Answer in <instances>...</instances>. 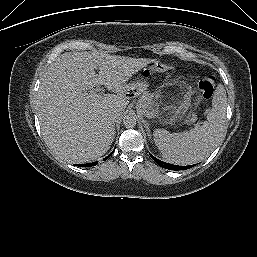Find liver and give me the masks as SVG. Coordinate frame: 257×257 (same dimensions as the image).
I'll return each instance as SVG.
<instances>
[{
  "label": "liver",
  "instance_id": "liver-1",
  "mask_svg": "<svg viewBox=\"0 0 257 257\" xmlns=\"http://www.w3.org/2000/svg\"><path fill=\"white\" fill-rule=\"evenodd\" d=\"M154 61L98 51L60 55L42 76L37 97L42 135L51 151L69 163H85L104 155L115 136L109 116L122 114L129 103L128 80ZM98 85L117 94L84 99L85 91Z\"/></svg>",
  "mask_w": 257,
  "mask_h": 257
}]
</instances>
